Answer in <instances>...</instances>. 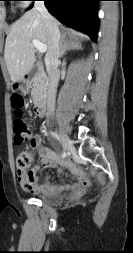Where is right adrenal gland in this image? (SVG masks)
Instances as JSON below:
<instances>
[{
    "mask_svg": "<svg viewBox=\"0 0 133 253\" xmlns=\"http://www.w3.org/2000/svg\"><path fill=\"white\" fill-rule=\"evenodd\" d=\"M78 47H79L78 44H76L73 41H68L67 39L65 41V35H63L61 43H60V48H61L60 56L62 57L67 50L75 49Z\"/></svg>",
    "mask_w": 133,
    "mask_h": 253,
    "instance_id": "right-adrenal-gland-1",
    "label": "right adrenal gland"
}]
</instances>
